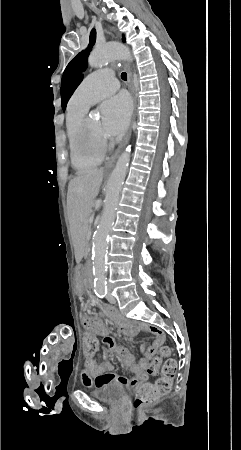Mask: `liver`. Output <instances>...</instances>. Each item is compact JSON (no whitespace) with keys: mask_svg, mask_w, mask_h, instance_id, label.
I'll return each mask as SVG.
<instances>
[{"mask_svg":"<svg viewBox=\"0 0 241 450\" xmlns=\"http://www.w3.org/2000/svg\"><path fill=\"white\" fill-rule=\"evenodd\" d=\"M104 170H92L89 174H80L70 180L68 186L69 220L72 226L79 228L87 224L92 212L93 200L99 194L103 182Z\"/></svg>","mask_w":241,"mask_h":450,"instance_id":"1","label":"liver"}]
</instances>
